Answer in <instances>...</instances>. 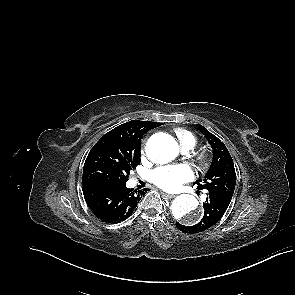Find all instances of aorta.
<instances>
[{
  "label": "aorta",
  "mask_w": 295,
  "mask_h": 295,
  "mask_svg": "<svg viewBox=\"0 0 295 295\" xmlns=\"http://www.w3.org/2000/svg\"><path fill=\"white\" fill-rule=\"evenodd\" d=\"M146 154L151 161L165 164L178 156L179 146L172 136L158 133L152 135L147 141ZM198 205V200L193 195L182 194L173 200L171 212L176 220L186 224H196L201 218Z\"/></svg>",
  "instance_id": "obj_1"
}]
</instances>
